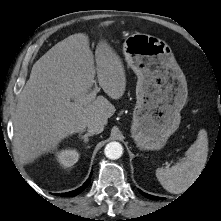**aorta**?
Wrapping results in <instances>:
<instances>
[{
	"label": "aorta",
	"mask_w": 221,
	"mask_h": 221,
	"mask_svg": "<svg viewBox=\"0 0 221 221\" xmlns=\"http://www.w3.org/2000/svg\"><path fill=\"white\" fill-rule=\"evenodd\" d=\"M104 153L111 160L119 159L123 154L122 145L119 142H110L106 145Z\"/></svg>",
	"instance_id": "obj_1"
}]
</instances>
